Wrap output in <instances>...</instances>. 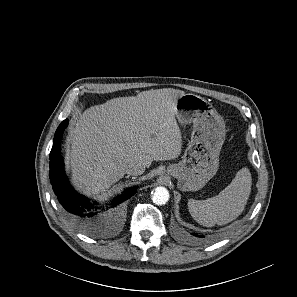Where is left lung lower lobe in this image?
<instances>
[{
	"mask_svg": "<svg viewBox=\"0 0 297 297\" xmlns=\"http://www.w3.org/2000/svg\"><path fill=\"white\" fill-rule=\"evenodd\" d=\"M191 235H193V236H195V237H198V238L204 237V236H202V235H198V234H196V233H192Z\"/></svg>",
	"mask_w": 297,
	"mask_h": 297,
	"instance_id": "left-lung-lower-lobe-1",
	"label": "left lung lower lobe"
}]
</instances>
